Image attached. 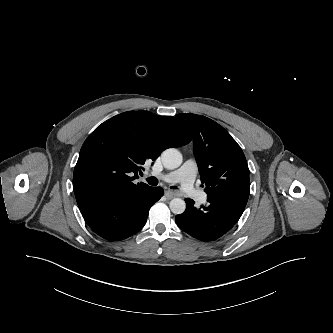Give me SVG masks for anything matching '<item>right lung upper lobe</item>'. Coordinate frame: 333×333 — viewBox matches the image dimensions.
I'll return each mask as SVG.
<instances>
[{"label": "right lung upper lobe", "mask_w": 333, "mask_h": 333, "mask_svg": "<svg viewBox=\"0 0 333 333\" xmlns=\"http://www.w3.org/2000/svg\"><path fill=\"white\" fill-rule=\"evenodd\" d=\"M177 118L149 111L121 113L98 126L85 140L73 174L77 204L95 198H130L150 186L135 183L143 165L169 147L191 141Z\"/></svg>", "instance_id": "cb5924a9"}]
</instances>
